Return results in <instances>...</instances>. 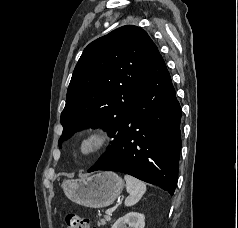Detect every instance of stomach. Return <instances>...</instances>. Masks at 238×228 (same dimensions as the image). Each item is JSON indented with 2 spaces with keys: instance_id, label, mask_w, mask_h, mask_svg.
Here are the masks:
<instances>
[{
  "instance_id": "0dacf381",
  "label": "stomach",
  "mask_w": 238,
  "mask_h": 228,
  "mask_svg": "<svg viewBox=\"0 0 238 228\" xmlns=\"http://www.w3.org/2000/svg\"><path fill=\"white\" fill-rule=\"evenodd\" d=\"M61 187L71 201L89 208H103L116 200L124 182L116 173L105 171L90 177L65 180Z\"/></svg>"
}]
</instances>
